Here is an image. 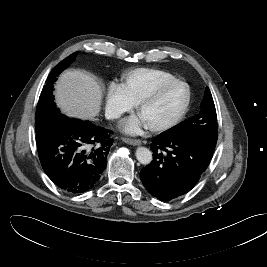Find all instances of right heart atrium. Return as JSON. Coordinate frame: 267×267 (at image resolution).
Listing matches in <instances>:
<instances>
[{"mask_svg": "<svg viewBox=\"0 0 267 267\" xmlns=\"http://www.w3.org/2000/svg\"><path fill=\"white\" fill-rule=\"evenodd\" d=\"M134 103L128 97L122 84H110L105 103V114L111 120L120 118L133 109Z\"/></svg>", "mask_w": 267, "mask_h": 267, "instance_id": "obj_1", "label": "right heart atrium"}]
</instances>
